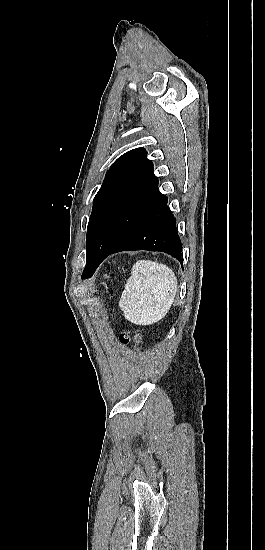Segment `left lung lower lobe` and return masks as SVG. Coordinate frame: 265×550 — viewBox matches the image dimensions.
<instances>
[{
  "mask_svg": "<svg viewBox=\"0 0 265 550\" xmlns=\"http://www.w3.org/2000/svg\"><path fill=\"white\" fill-rule=\"evenodd\" d=\"M167 197L145 214L109 251L92 250L86 255L82 279L90 278L110 254L120 251L149 250L165 252L181 260L182 245L176 219L167 206Z\"/></svg>",
  "mask_w": 265,
  "mask_h": 550,
  "instance_id": "1",
  "label": "left lung lower lobe"
}]
</instances>
